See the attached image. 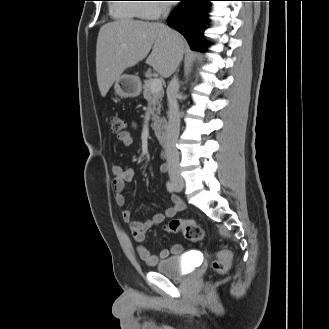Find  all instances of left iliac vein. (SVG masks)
I'll return each mask as SVG.
<instances>
[{
    "mask_svg": "<svg viewBox=\"0 0 329 329\" xmlns=\"http://www.w3.org/2000/svg\"><path fill=\"white\" fill-rule=\"evenodd\" d=\"M176 190H177V191H179V190H180V188L176 186Z\"/></svg>",
    "mask_w": 329,
    "mask_h": 329,
    "instance_id": "obj_1",
    "label": "left iliac vein"
}]
</instances>
